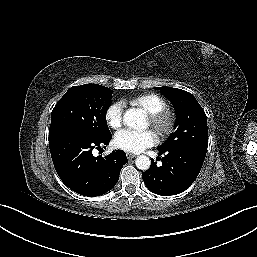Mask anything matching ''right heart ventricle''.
<instances>
[{"label": "right heart ventricle", "instance_id": "e07e8e85", "mask_svg": "<svg viewBox=\"0 0 257 257\" xmlns=\"http://www.w3.org/2000/svg\"><path fill=\"white\" fill-rule=\"evenodd\" d=\"M129 102L142 109L147 115L156 113L167 106L166 100L154 92L137 95L131 98Z\"/></svg>", "mask_w": 257, "mask_h": 257}]
</instances>
